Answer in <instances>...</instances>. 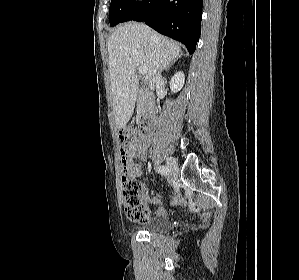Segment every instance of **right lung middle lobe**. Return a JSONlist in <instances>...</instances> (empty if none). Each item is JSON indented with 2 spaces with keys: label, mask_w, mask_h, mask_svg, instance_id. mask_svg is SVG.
<instances>
[{
  "label": "right lung middle lobe",
  "mask_w": 299,
  "mask_h": 280,
  "mask_svg": "<svg viewBox=\"0 0 299 280\" xmlns=\"http://www.w3.org/2000/svg\"><path fill=\"white\" fill-rule=\"evenodd\" d=\"M136 0H111L109 8L110 26L123 22L126 15L135 7Z\"/></svg>",
  "instance_id": "1"
}]
</instances>
